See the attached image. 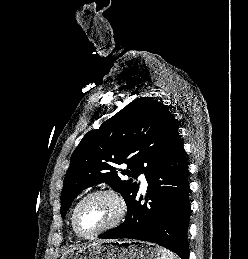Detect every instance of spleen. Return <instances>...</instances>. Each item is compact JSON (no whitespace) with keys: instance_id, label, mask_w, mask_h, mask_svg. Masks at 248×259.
Instances as JSON below:
<instances>
[{"instance_id":"3e777b00","label":"spleen","mask_w":248,"mask_h":259,"mask_svg":"<svg viewBox=\"0 0 248 259\" xmlns=\"http://www.w3.org/2000/svg\"><path fill=\"white\" fill-rule=\"evenodd\" d=\"M161 259H180L175 254L165 248H161Z\"/></svg>"}]
</instances>
